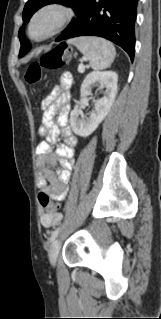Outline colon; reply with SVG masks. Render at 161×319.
<instances>
[{"mask_svg":"<svg viewBox=\"0 0 161 319\" xmlns=\"http://www.w3.org/2000/svg\"><path fill=\"white\" fill-rule=\"evenodd\" d=\"M71 49L67 45H59L47 53L43 54L39 61L32 62L26 71V81L30 84L38 83L42 80V68L57 70L62 68L70 59ZM39 201L43 208L58 210V205L50 201L46 192L39 195Z\"/></svg>","mask_w":161,"mask_h":319,"instance_id":"1","label":"colon"}]
</instances>
